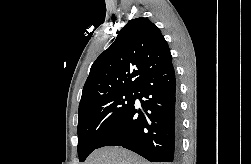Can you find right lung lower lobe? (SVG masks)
Here are the masks:
<instances>
[{
  "label": "right lung lower lobe",
  "instance_id": "1",
  "mask_svg": "<svg viewBox=\"0 0 251 164\" xmlns=\"http://www.w3.org/2000/svg\"><path fill=\"white\" fill-rule=\"evenodd\" d=\"M144 109L133 105L105 135L98 148L122 146L150 162L179 160L180 120L176 106V81L172 63L146 77L137 88Z\"/></svg>",
  "mask_w": 251,
  "mask_h": 164
}]
</instances>
